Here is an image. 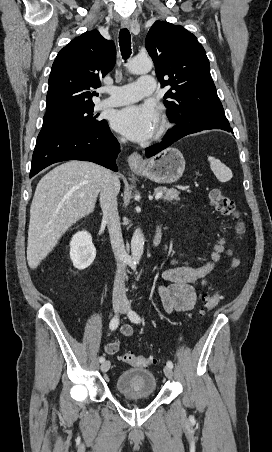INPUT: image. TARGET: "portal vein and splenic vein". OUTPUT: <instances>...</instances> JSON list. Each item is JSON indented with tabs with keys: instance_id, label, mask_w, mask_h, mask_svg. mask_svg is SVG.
<instances>
[{
	"instance_id": "1",
	"label": "portal vein and splenic vein",
	"mask_w": 272,
	"mask_h": 452,
	"mask_svg": "<svg viewBox=\"0 0 272 452\" xmlns=\"http://www.w3.org/2000/svg\"><path fill=\"white\" fill-rule=\"evenodd\" d=\"M162 195H163V192H158V193H156L155 199H156V200H159V199L162 197Z\"/></svg>"
}]
</instances>
